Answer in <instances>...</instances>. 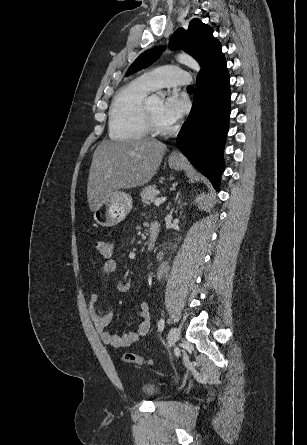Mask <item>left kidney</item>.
<instances>
[{
    "label": "left kidney",
    "instance_id": "5707ae66",
    "mask_svg": "<svg viewBox=\"0 0 307 445\" xmlns=\"http://www.w3.org/2000/svg\"><path fill=\"white\" fill-rule=\"evenodd\" d=\"M198 198H201V196H198ZM198 198H196V200H198Z\"/></svg>",
    "mask_w": 307,
    "mask_h": 445
}]
</instances>
